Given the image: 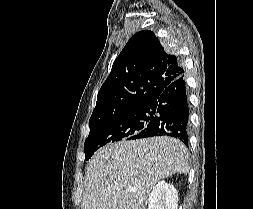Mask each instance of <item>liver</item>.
<instances>
[{"label": "liver", "instance_id": "1", "mask_svg": "<svg viewBox=\"0 0 253 209\" xmlns=\"http://www.w3.org/2000/svg\"><path fill=\"white\" fill-rule=\"evenodd\" d=\"M188 156L185 145L168 136L108 144L89 161L81 209H146L159 180L189 172Z\"/></svg>", "mask_w": 253, "mask_h": 209}]
</instances>
